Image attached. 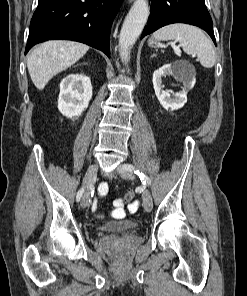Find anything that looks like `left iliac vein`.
I'll list each match as a JSON object with an SVG mask.
<instances>
[{"label": "left iliac vein", "instance_id": "obj_1", "mask_svg": "<svg viewBox=\"0 0 247 296\" xmlns=\"http://www.w3.org/2000/svg\"><path fill=\"white\" fill-rule=\"evenodd\" d=\"M117 172L124 179L132 180L134 178L133 174L124 168V165L118 167ZM143 207L147 212H150L153 207L152 197L148 190L143 192Z\"/></svg>", "mask_w": 247, "mask_h": 296}]
</instances>
